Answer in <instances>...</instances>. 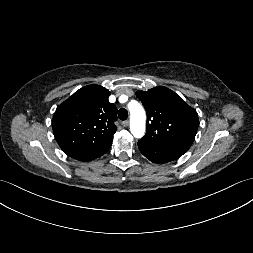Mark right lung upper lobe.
Instances as JSON below:
<instances>
[{"instance_id":"obj_1","label":"right lung upper lobe","mask_w":253,"mask_h":253,"mask_svg":"<svg viewBox=\"0 0 253 253\" xmlns=\"http://www.w3.org/2000/svg\"><path fill=\"white\" fill-rule=\"evenodd\" d=\"M109 90L85 86L60 104L52 119L55 139L61 149L76 158L113 141L117 108L110 103Z\"/></svg>"}]
</instances>
